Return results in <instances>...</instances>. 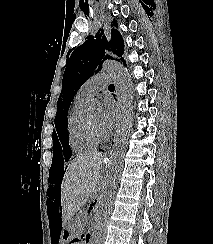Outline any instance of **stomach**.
Segmentation results:
<instances>
[{
	"label": "stomach",
	"mask_w": 213,
	"mask_h": 244,
	"mask_svg": "<svg viewBox=\"0 0 213 244\" xmlns=\"http://www.w3.org/2000/svg\"><path fill=\"white\" fill-rule=\"evenodd\" d=\"M75 221H66L63 223V234L62 239H59V244H70V239H76V234H78V229L76 228Z\"/></svg>",
	"instance_id": "1"
}]
</instances>
